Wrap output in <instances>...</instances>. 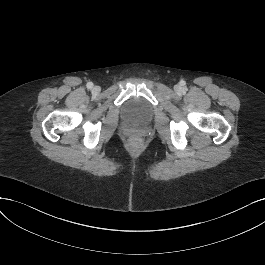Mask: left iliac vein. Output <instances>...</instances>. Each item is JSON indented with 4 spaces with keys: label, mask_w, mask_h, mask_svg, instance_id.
<instances>
[{
    "label": "left iliac vein",
    "mask_w": 265,
    "mask_h": 265,
    "mask_svg": "<svg viewBox=\"0 0 265 265\" xmlns=\"http://www.w3.org/2000/svg\"><path fill=\"white\" fill-rule=\"evenodd\" d=\"M175 91L180 92L181 91V87L180 86H176L175 87Z\"/></svg>",
    "instance_id": "left-iliac-vein-1"
}]
</instances>
